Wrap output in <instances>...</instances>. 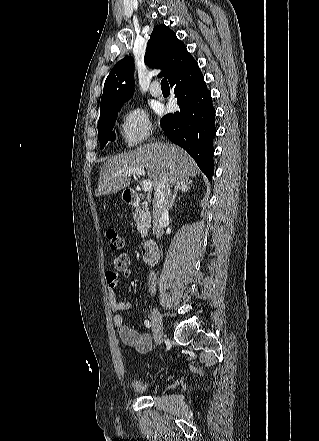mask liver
<instances>
[{"instance_id": "obj_1", "label": "liver", "mask_w": 319, "mask_h": 441, "mask_svg": "<svg viewBox=\"0 0 319 441\" xmlns=\"http://www.w3.org/2000/svg\"><path fill=\"white\" fill-rule=\"evenodd\" d=\"M129 168H145L155 191L166 186H179L200 173L194 160L186 151L168 143H150L135 151L109 158L103 165L96 196L115 194L130 185V174L115 173Z\"/></svg>"}]
</instances>
